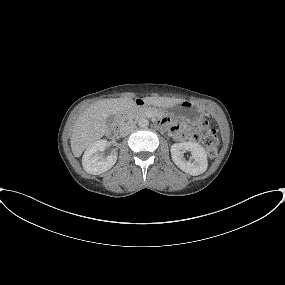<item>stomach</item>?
<instances>
[{"mask_svg":"<svg viewBox=\"0 0 285 285\" xmlns=\"http://www.w3.org/2000/svg\"><path fill=\"white\" fill-rule=\"evenodd\" d=\"M166 111L170 116L188 122H196L204 116L203 108L199 104L188 100H183L178 104L168 107Z\"/></svg>","mask_w":285,"mask_h":285,"instance_id":"0dacf381","label":"stomach"}]
</instances>
